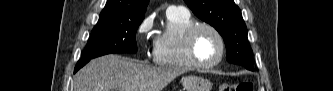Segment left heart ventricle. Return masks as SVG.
Instances as JSON below:
<instances>
[{
	"mask_svg": "<svg viewBox=\"0 0 333 91\" xmlns=\"http://www.w3.org/2000/svg\"><path fill=\"white\" fill-rule=\"evenodd\" d=\"M195 52L203 63L215 61L220 53V43L213 32L202 29L195 40Z\"/></svg>",
	"mask_w": 333,
	"mask_h": 91,
	"instance_id": "1",
	"label": "left heart ventricle"
}]
</instances>
